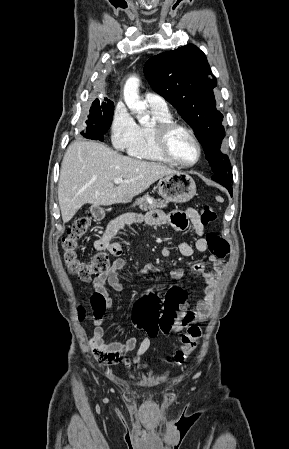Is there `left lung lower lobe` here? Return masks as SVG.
I'll use <instances>...</instances> for the list:
<instances>
[{"label":"left lung lower lobe","mask_w":289,"mask_h":449,"mask_svg":"<svg viewBox=\"0 0 289 449\" xmlns=\"http://www.w3.org/2000/svg\"><path fill=\"white\" fill-rule=\"evenodd\" d=\"M222 185L225 186L228 189L230 195L232 196V185H231V183H226V184H222Z\"/></svg>","instance_id":"obj_1"}]
</instances>
